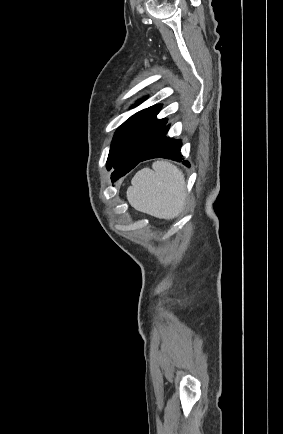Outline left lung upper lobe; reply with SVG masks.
I'll return each mask as SVG.
<instances>
[{
  "mask_svg": "<svg viewBox=\"0 0 283 434\" xmlns=\"http://www.w3.org/2000/svg\"><path fill=\"white\" fill-rule=\"evenodd\" d=\"M161 105L137 112L116 131L107 159V169L132 162L144 155L161 130L166 119H157Z\"/></svg>",
  "mask_w": 283,
  "mask_h": 434,
  "instance_id": "left-lung-upper-lobe-1",
  "label": "left lung upper lobe"
}]
</instances>
